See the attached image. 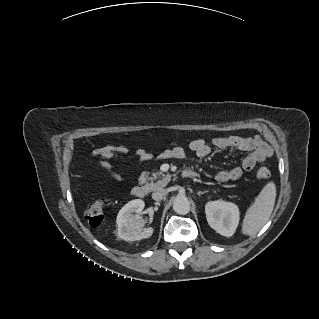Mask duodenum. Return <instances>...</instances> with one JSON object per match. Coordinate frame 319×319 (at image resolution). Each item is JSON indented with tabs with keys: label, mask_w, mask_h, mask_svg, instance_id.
<instances>
[{
	"label": "duodenum",
	"mask_w": 319,
	"mask_h": 319,
	"mask_svg": "<svg viewBox=\"0 0 319 319\" xmlns=\"http://www.w3.org/2000/svg\"><path fill=\"white\" fill-rule=\"evenodd\" d=\"M198 173L193 170H185L182 172V177L185 178H196ZM132 195L136 198H144L146 195V188L144 185H136L132 189Z\"/></svg>",
	"instance_id": "1"
}]
</instances>
